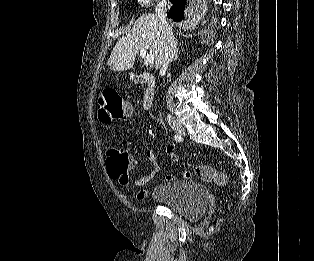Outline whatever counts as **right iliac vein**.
<instances>
[{
	"mask_svg": "<svg viewBox=\"0 0 314 261\" xmlns=\"http://www.w3.org/2000/svg\"><path fill=\"white\" fill-rule=\"evenodd\" d=\"M170 126L179 135H185L186 134V131H185L184 127L179 122L172 121L170 123Z\"/></svg>",
	"mask_w": 314,
	"mask_h": 261,
	"instance_id": "right-iliac-vein-1",
	"label": "right iliac vein"
}]
</instances>
